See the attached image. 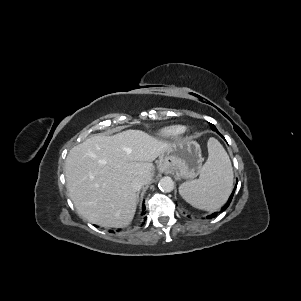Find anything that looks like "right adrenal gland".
Segmentation results:
<instances>
[{
    "instance_id": "obj_1",
    "label": "right adrenal gland",
    "mask_w": 301,
    "mask_h": 301,
    "mask_svg": "<svg viewBox=\"0 0 301 301\" xmlns=\"http://www.w3.org/2000/svg\"><path fill=\"white\" fill-rule=\"evenodd\" d=\"M138 199H139V193H137V203H138Z\"/></svg>"
}]
</instances>
